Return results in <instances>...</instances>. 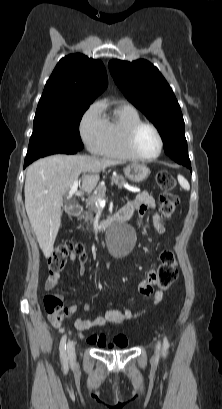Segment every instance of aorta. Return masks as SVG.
<instances>
[{
    "mask_svg": "<svg viewBox=\"0 0 222 409\" xmlns=\"http://www.w3.org/2000/svg\"><path fill=\"white\" fill-rule=\"evenodd\" d=\"M132 230L125 224L115 225L110 233V246L119 255H125L131 250L130 237Z\"/></svg>",
    "mask_w": 222,
    "mask_h": 409,
    "instance_id": "obj_1",
    "label": "aorta"
}]
</instances>
